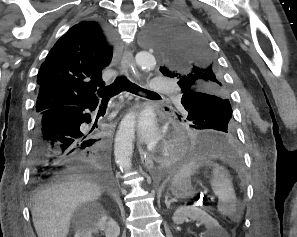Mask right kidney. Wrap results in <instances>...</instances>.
Wrapping results in <instances>:
<instances>
[{
    "label": "right kidney",
    "instance_id": "1",
    "mask_svg": "<svg viewBox=\"0 0 297 237\" xmlns=\"http://www.w3.org/2000/svg\"><path fill=\"white\" fill-rule=\"evenodd\" d=\"M90 225L81 230L78 237H92V232L95 230L104 231L106 237H118L120 228L118 224L107 214H99L95 216Z\"/></svg>",
    "mask_w": 297,
    "mask_h": 237
}]
</instances>
